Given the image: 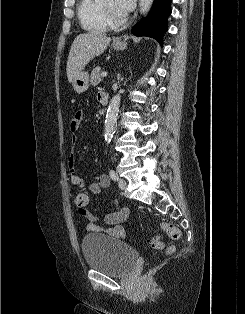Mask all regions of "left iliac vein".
Here are the masks:
<instances>
[{
  "mask_svg": "<svg viewBox=\"0 0 245 314\" xmlns=\"http://www.w3.org/2000/svg\"><path fill=\"white\" fill-rule=\"evenodd\" d=\"M118 186L121 190H125L127 188V182L124 179H119Z\"/></svg>",
  "mask_w": 245,
  "mask_h": 314,
  "instance_id": "obj_1",
  "label": "left iliac vein"
}]
</instances>
